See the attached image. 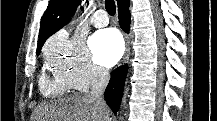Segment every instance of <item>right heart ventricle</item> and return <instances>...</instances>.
<instances>
[{
  "mask_svg": "<svg viewBox=\"0 0 217 121\" xmlns=\"http://www.w3.org/2000/svg\"><path fill=\"white\" fill-rule=\"evenodd\" d=\"M39 87L42 94L46 97L62 96L68 92L70 86L53 76L49 77L46 73H42L39 81Z\"/></svg>",
  "mask_w": 217,
  "mask_h": 121,
  "instance_id": "right-heart-ventricle-1",
  "label": "right heart ventricle"
}]
</instances>
